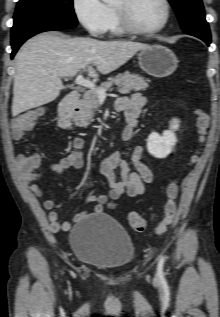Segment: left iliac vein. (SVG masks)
<instances>
[{"label": "left iliac vein", "instance_id": "1", "mask_svg": "<svg viewBox=\"0 0 220 317\" xmlns=\"http://www.w3.org/2000/svg\"><path fill=\"white\" fill-rule=\"evenodd\" d=\"M155 279H156V280H159V275H158V273L155 274Z\"/></svg>", "mask_w": 220, "mask_h": 317}]
</instances>
